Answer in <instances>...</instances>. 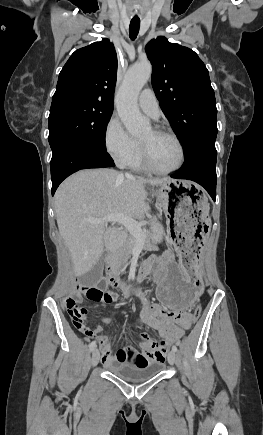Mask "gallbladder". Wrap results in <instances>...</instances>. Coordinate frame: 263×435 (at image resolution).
<instances>
[{"label": "gallbladder", "mask_w": 263, "mask_h": 435, "mask_svg": "<svg viewBox=\"0 0 263 435\" xmlns=\"http://www.w3.org/2000/svg\"><path fill=\"white\" fill-rule=\"evenodd\" d=\"M106 260V254H103L97 264L86 274L82 275L80 281L85 286H94L100 280Z\"/></svg>", "instance_id": "bac80fb5"}]
</instances>
